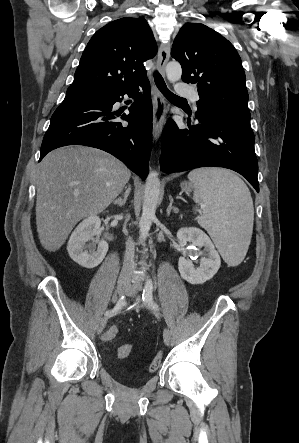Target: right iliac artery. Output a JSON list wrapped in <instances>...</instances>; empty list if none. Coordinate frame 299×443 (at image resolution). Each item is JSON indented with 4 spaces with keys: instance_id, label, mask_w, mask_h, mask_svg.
Returning <instances> with one entry per match:
<instances>
[{
    "instance_id": "82829eb1",
    "label": "right iliac artery",
    "mask_w": 299,
    "mask_h": 443,
    "mask_svg": "<svg viewBox=\"0 0 299 443\" xmlns=\"http://www.w3.org/2000/svg\"><path fill=\"white\" fill-rule=\"evenodd\" d=\"M124 304H125V296L122 295L119 298V300L117 301V303L114 306V308L105 312V316L112 317V316L116 315L122 309Z\"/></svg>"
}]
</instances>
